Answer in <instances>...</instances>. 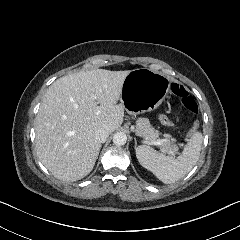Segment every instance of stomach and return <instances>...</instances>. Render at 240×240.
<instances>
[{"instance_id":"obj_1","label":"stomach","mask_w":240,"mask_h":240,"mask_svg":"<svg viewBox=\"0 0 240 240\" xmlns=\"http://www.w3.org/2000/svg\"><path fill=\"white\" fill-rule=\"evenodd\" d=\"M169 89V76L149 68L133 69L125 78L120 101L129 114L143 113L157 108Z\"/></svg>"}]
</instances>
